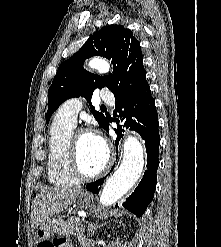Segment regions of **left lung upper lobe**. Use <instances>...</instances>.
<instances>
[{"instance_id":"left-lung-upper-lobe-1","label":"left lung upper lobe","mask_w":221,"mask_h":247,"mask_svg":"<svg viewBox=\"0 0 221 247\" xmlns=\"http://www.w3.org/2000/svg\"><path fill=\"white\" fill-rule=\"evenodd\" d=\"M112 59L113 73L107 76L94 75L83 69V62L92 56ZM141 47L131 30L122 25H108L90 37L85 45L71 58L63 62L49 88V123L52 113L67 99L84 96L90 103L96 88L107 87L117 101H123L150 92L143 66ZM92 114L100 126L107 118L90 103Z\"/></svg>"}]
</instances>
